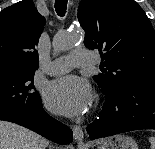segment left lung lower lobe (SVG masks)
<instances>
[{
	"label": "left lung lower lobe",
	"instance_id": "left-lung-lower-lobe-1",
	"mask_svg": "<svg viewBox=\"0 0 155 149\" xmlns=\"http://www.w3.org/2000/svg\"><path fill=\"white\" fill-rule=\"evenodd\" d=\"M104 93L106 102L99 119L87 126L91 139L155 129V77L136 79Z\"/></svg>",
	"mask_w": 155,
	"mask_h": 149
}]
</instances>
